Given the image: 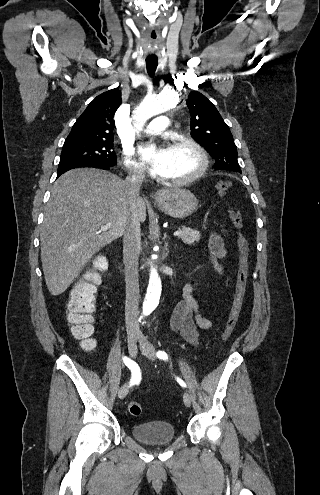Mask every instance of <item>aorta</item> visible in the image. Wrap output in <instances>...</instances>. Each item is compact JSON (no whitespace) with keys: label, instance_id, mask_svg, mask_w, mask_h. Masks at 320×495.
I'll list each match as a JSON object with an SVG mask.
<instances>
[{"label":"aorta","instance_id":"1","mask_svg":"<svg viewBox=\"0 0 320 495\" xmlns=\"http://www.w3.org/2000/svg\"><path fill=\"white\" fill-rule=\"evenodd\" d=\"M178 103V95L173 90H164L157 96H146L133 112L134 126L137 132L142 129L150 118L176 107ZM155 237H158L157 231H155ZM145 263L151 266L149 285L143 304L144 313L148 315L159 304L162 284L157 270L152 266V256H145Z\"/></svg>","mask_w":320,"mask_h":495}]
</instances>
